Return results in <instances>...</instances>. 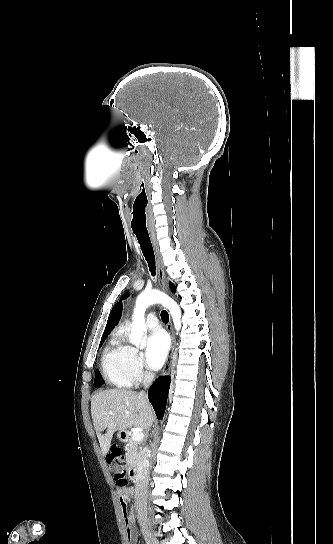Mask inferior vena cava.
<instances>
[{
    "mask_svg": "<svg viewBox=\"0 0 333 544\" xmlns=\"http://www.w3.org/2000/svg\"><path fill=\"white\" fill-rule=\"evenodd\" d=\"M154 379V375L146 372L143 379L145 388H148ZM140 394L144 395V391ZM149 482V460L148 447H145L140 454V461L137 469L135 483V509L140 520H146L147 517V487Z\"/></svg>",
    "mask_w": 333,
    "mask_h": 544,
    "instance_id": "obj_1",
    "label": "inferior vena cava"
}]
</instances>
